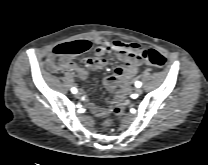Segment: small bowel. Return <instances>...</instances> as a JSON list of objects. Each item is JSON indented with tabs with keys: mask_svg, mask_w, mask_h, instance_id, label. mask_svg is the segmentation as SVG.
Listing matches in <instances>:
<instances>
[{
	"mask_svg": "<svg viewBox=\"0 0 208 165\" xmlns=\"http://www.w3.org/2000/svg\"><path fill=\"white\" fill-rule=\"evenodd\" d=\"M89 43L95 45L96 49L94 57L84 59L85 67L68 59L60 65V70L74 71L80 79H85L88 75L86 67L95 70L101 69L107 65L106 55L114 53L122 64L114 70L112 75L105 78L104 84L110 90H114L118 84L124 91L128 90L130 80L136 75L138 67L142 63L140 45L134 42L109 40L104 37L94 38ZM107 98L112 104L118 101L115 93H109ZM95 112L98 115H104L107 108L96 107Z\"/></svg>",
	"mask_w": 208,
	"mask_h": 165,
	"instance_id": "obj_1",
	"label": "small bowel"
}]
</instances>
